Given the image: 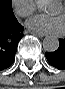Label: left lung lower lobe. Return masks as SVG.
<instances>
[{"label":"left lung lower lobe","mask_w":65,"mask_h":89,"mask_svg":"<svg viewBox=\"0 0 65 89\" xmlns=\"http://www.w3.org/2000/svg\"><path fill=\"white\" fill-rule=\"evenodd\" d=\"M49 63L58 69L65 70V38L59 40V48L51 53H46Z\"/></svg>","instance_id":"0a47b994"}]
</instances>
